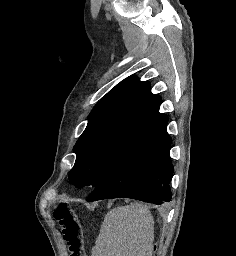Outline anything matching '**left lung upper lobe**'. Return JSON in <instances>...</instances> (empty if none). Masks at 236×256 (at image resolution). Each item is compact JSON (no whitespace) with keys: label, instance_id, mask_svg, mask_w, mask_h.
Segmentation results:
<instances>
[{"label":"left lung upper lobe","instance_id":"1","mask_svg":"<svg viewBox=\"0 0 236 256\" xmlns=\"http://www.w3.org/2000/svg\"><path fill=\"white\" fill-rule=\"evenodd\" d=\"M161 98L148 81L129 76L112 88L93 108L73 151L69 180L78 188L96 187L115 165L135 132L158 110Z\"/></svg>","mask_w":236,"mask_h":256}]
</instances>
